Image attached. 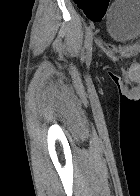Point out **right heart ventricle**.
<instances>
[{"label": "right heart ventricle", "instance_id": "1", "mask_svg": "<svg viewBox=\"0 0 140 196\" xmlns=\"http://www.w3.org/2000/svg\"><path fill=\"white\" fill-rule=\"evenodd\" d=\"M90 192H108V191H90Z\"/></svg>", "mask_w": 140, "mask_h": 196}]
</instances>
